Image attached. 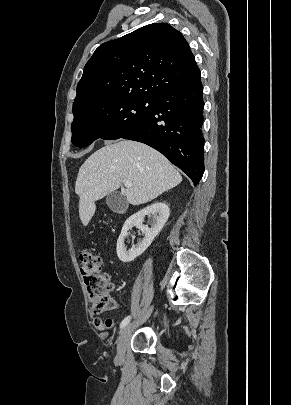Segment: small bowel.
I'll return each mask as SVG.
<instances>
[{
	"mask_svg": "<svg viewBox=\"0 0 291 405\" xmlns=\"http://www.w3.org/2000/svg\"><path fill=\"white\" fill-rule=\"evenodd\" d=\"M111 306L114 309H116L118 307V305L115 302H112ZM93 323H94V326L100 331L110 330L114 326V320L110 319V318H108L106 320H102L100 318H95Z\"/></svg>",
	"mask_w": 291,
	"mask_h": 405,
	"instance_id": "c3829d8e",
	"label": "small bowel"
}]
</instances>
